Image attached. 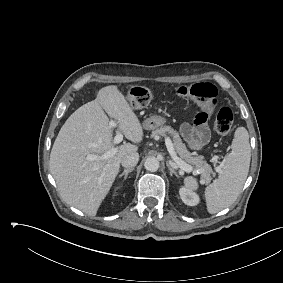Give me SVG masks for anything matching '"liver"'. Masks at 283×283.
Wrapping results in <instances>:
<instances>
[{
	"instance_id": "obj_1",
	"label": "liver",
	"mask_w": 283,
	"mask_h": 283,
	"mask_svg": "<svg viewBox=\"0 0 283 283\" xmlns=\"http://www.w3.org/2000/svg\"><path fill=\"white\" fill-rule=\"evenodd\" d=\"M135 143L143 140V127L116 85L99 90L97 98L78 108L60 129L50 154V169L62 199L95 216L119 173L121 159L138 146H114L109 118ZM115 153L104 158V155ZM88 155H95L89 160Z\"/></svg>"
}]
</instances>
